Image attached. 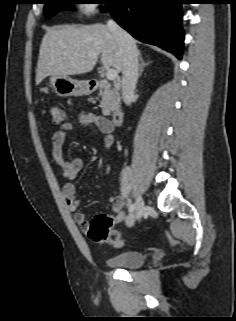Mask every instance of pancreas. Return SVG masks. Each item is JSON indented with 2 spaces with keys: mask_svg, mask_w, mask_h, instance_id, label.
I'll use <instances>...</instances> for the list:
<instances>
[{
  "mask_svg": "<svg viewBox=\"0 0 236 321\" xmlns=\"http://www.w3.org/2000/svg\"><path fill=\"white\" fill-rule=\"evenodd\" d=\"M99 96L102 98L101 107L104 115H109L112 111H115L119 108V91L115 88H111V85L106 80L102 82Z\"/></svg>",
  "mask_w": 236,
  "mask_h": 321,
  "instance_id": "cf45deb5",
  "label": "pancreas"
}]
</instances>
